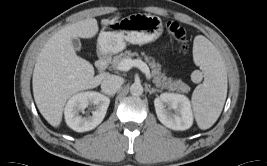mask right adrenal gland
Masks as SVG:
<instances>
[{
	"label": "right adrenal gland",
	"instance_id": "1",
	"mask_svg": "<svg viewBox=\"0 0 267 166\" xmlns=\"http://www.w3.org/2000/svg\"><path fill=\"white\" fill-rule=\"evenodd\" d=\"M110 97H113L114 95H109Z\"/></svg>",
	"mask_w": 267,
	"mask_h": 166
}]
</instances>
